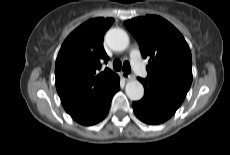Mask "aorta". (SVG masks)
I'll list each match as a JSON object with an SVG mask.
<instances>
[{
    "instance_id": "obj_1",
    "label": "aorta",
    "mask_w": 230,
    "mask_h": 155,
    "mask_svg": "<svg viewBox=\"0 0 230 155\" xmlns=\"http://www.w3.org/2000/svg\"><path fill=\"white\" fill-rule=\"evenodd\" d=\"M106 43L115 51H123L129 45V36L121 28H112L106 33ZM128 98L138 101L144 96V87L137 80L128 81L125 87Z\"/></svg>"
}]
</instances>
